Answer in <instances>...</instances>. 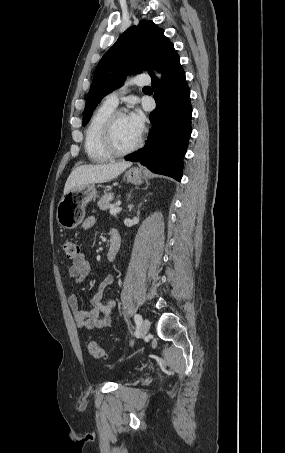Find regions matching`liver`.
Listing matches in <instances>:
<instances>
[{"label":"liver","instance_id":"liver-1","mask_svg":"<svg viewBox=\"0 0 285 453\" xmlns=\"http://www.w3.org/2000/svg\"><path fill=\"white\" fill-rule=\"evenodd\" d=\"M131 165V162L123 161L110 164L78 166L72 170L65 183L64 195L76 187L111 181Z\"/></svg>","mask_w":285,"mask_h":453}]
</instances>
